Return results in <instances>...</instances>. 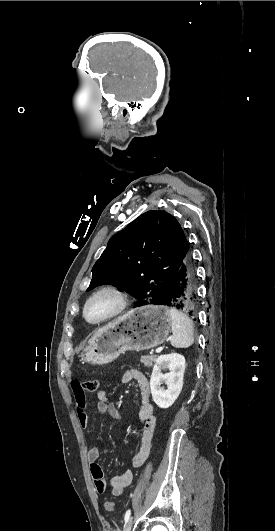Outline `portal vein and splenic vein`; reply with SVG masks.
<instances>
[{
    "instance_id": "portal-vein-and-splenic-vein-1",
    "label": "portal vein and splenic vein",
    "mask_w": 275,
    "mask_h": 531,
    "mask_svg": "<svg viewBox=\"0 0 275 531\" xmlns=\"http://www.w3.org/2000/svg\"><path fill=\"white\" fill-rule=\"evenodd\" d=\"M168 342H172V339H166L165 344H168ZM162 349H164V346L158 347V349H156L155 355H158Z\"/></svg>"
}]
</instances>
